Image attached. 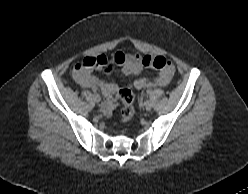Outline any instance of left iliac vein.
<instances>
[{
    "instance_id": "1",
    "label": "left iliac vein",
    "mask_w": 248,
    "mask_h": 194,
    "mask_svg": "<svg viewBox=\"0 0 248 194\" xmlns=\"http://www.w3.org/2000/svg\"><path fill=\"white\" fill-rule=\"evenodd\" d=\"M144 107L147 111H150L153 107V104L150 100L146 101L145 104H144Z\"/></svg>"
}]
</instances>
